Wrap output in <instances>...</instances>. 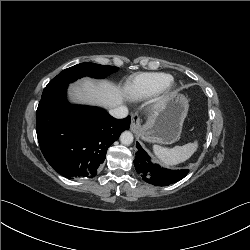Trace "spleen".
Returning <instances> with one entry per match:
<instances>
[{"label": "spleen", "mask_w": 250, "mask_h": 250, "mask_svg": "<svg viewBox=\"0 0 250 250\" xmlns=\"http://www.w3.org/2000/svg\"><path fill=\"white\" fill-rule=\"evenodd\" d=\"M198 142L187 143L183 146L167 148L155 145L153 147L155 155L160 163L166 167H172L189 159L197 150Z\"/></svg>", "instance_id": "3e777b00"}]
</instances>
